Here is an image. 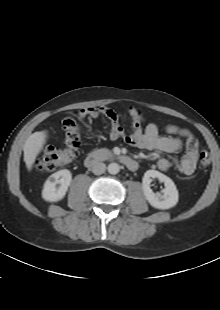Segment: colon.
<instances>
[{"instance_id":"colon-1","label":"colon","mask_w":220,"mask_h":310,"mask_svg":"<svg viewBox=\"0 0 220 310\" xmlns=\"http://www.w3.org/2000/svg\"><path fill=\"white\" fill-rule=\"evenodd\" d=\"M63 126L65 130V146L63 148L45 147L35 161V166L38 170L52 171L70 163L75 158L81 144V134L78 125L73 118L69 117L63 121ZM198 157L202 168L210 166L212 159L207 149H198Z\"/></svg>"}]
</instances>
